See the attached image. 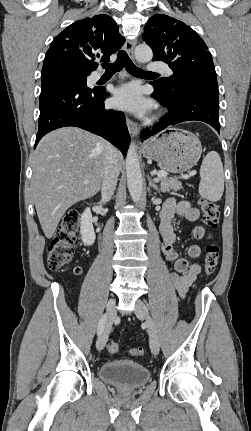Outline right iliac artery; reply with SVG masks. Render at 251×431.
Returning a JSON list of instances; mask_svg holds the SVG:
<instances>
[{"label":"right iliac artery","mask_w":251,"mask_h":431,"mask_svg":"<svg viewBox=\"0 0 251 431\" xmlns=\"http://www.w3.org/2000/svg\"><path fill=\"white\" fill-rule=\"evenodd\" d=\"M106 321H107V315L104 314L101 317V319L99 321V324H98V327H97V333H98V335H100L102 333V331H103V329L105 327Z\"/></svg>","instance_id":"82829eb1"}]
</instances>
